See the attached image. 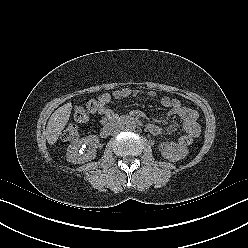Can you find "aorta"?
Returning <instances> with one entry per match:
<instances>
[{"instance_id": "obj_1", "label": "aorta", "mask_w": 248, "mask_h": 248, "mask_svg": "<svg viewBox=\"0 0 248 248\" xmlns=\"http://www.w3.org/2000/svg\"><path fill=\"white\" fill-rule=\"evenodd\" d=\"M136 128V122L133 121V120H129L127 123H126V129L127 130H134Z\"/></svg>"}]
</instances>
